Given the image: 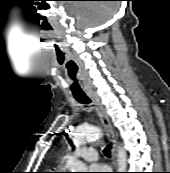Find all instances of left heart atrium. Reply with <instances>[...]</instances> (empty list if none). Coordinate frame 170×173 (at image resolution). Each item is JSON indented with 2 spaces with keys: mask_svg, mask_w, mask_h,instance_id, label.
<instances>
[{
  "mask_svg": "<svg viewBox=\"0 0 170 173\" xmlns=\"http://www.w3.org/2000/svg\"><path fill=\"white\" fill-rule=\"evenodd\" d=\"M90 173H105L107 168L104 165L94 164L89 167Z\"/></svg>",
  "mask_w": 170,
  "mask_h": 173,
  "instance_id": "1",
  "label": "left heart atrium"
}]
</instances>
